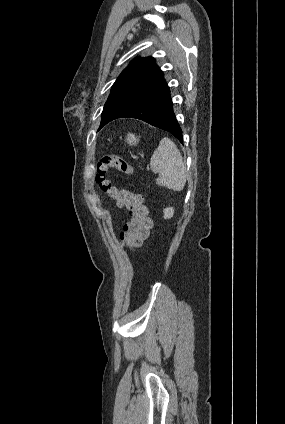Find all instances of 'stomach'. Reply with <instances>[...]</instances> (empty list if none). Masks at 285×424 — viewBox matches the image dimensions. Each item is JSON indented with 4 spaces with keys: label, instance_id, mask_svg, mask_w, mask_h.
I'll use <instances>...</instances> for the list:
<instances>
[{
    "label": "stomach",
    "instance_id": "1",
    "mask_svg": "<svg viewBox=\"0 0 285 424\" xmlns=\"http://www.w3.org/2000/svg\"><path fill=\"white\" fill-rule=\"evenodd\" d=\"M125 140L129 145L135 146L139 142V137L135 136V134L128 133Z\"/></svg>",
    "mask_w": 285,
    "mask_h": 424
}]
</instances>
